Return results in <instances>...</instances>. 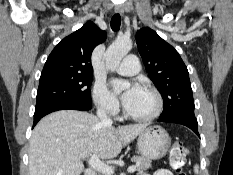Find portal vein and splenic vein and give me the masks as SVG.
<instances>
[{"label":"portal vein and splenic vein","instance_id":"obj_1","mask_svg":"<svg viewBox=\"0 0 233 175\" xmlns=\"http://www.w3.org/2000/svg\"><path fill=\"white\" fill-rule=\"evenodd\" d=\"M88 164L98 172H101L105 175H111L114 173V170L111 166L105 164L102 162L95 154L91 155L90 159L88 160ZM127 171L129 173H133L136 171V166L132 165L130 166Z\"/></svg>","mask_w":233,"mask_h":175}]
</instances>
